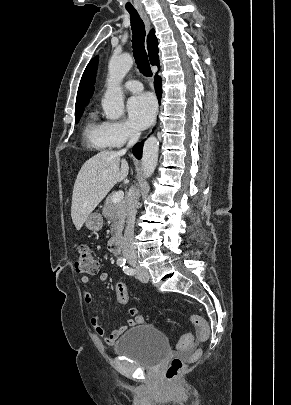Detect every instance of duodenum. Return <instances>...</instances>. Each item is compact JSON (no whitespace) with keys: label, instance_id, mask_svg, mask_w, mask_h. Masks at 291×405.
I'll list each match as a JSON object with an SVG mask.
<instances>
[{"label":"duodenum","instance_id":"410a0bca","mask_svg":"<svg viewBox=\"0 0 291 405\" xmlns=\"http://www.w3.org/2000/svg\"><path fill=\"white\" fill-rule=\"evenodd\" d=\"M122 247V236L117 233L108 241V249L112 253H119Z\"/></svg>","mask_w":291,"mask_h":405}]
</instances>
